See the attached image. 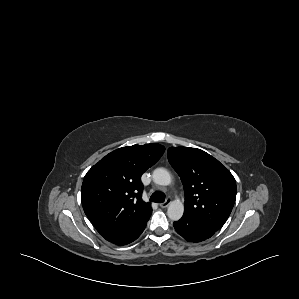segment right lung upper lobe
Returning a JSON list of instances; mask_svg holds the SVG:
<instances>
[{
	"label": "right lung upper lobe",
	"instance_id": "obj_1",
	"mask_svg": "<svg viewBox=\"0 0 299 299\" xmlns=\"http://www.w3.org/2000/svg\"><path fill=\"white\" fill-rule=\"evenodd\" d=\"M164 151L156 143L122 147L87 172L82 184V205L100 235L139 227L150 218L151 205L141 199V175Z\"/></svg>",
	"mask_w": 299,
	"mask_h": 299
}]
</instances>
